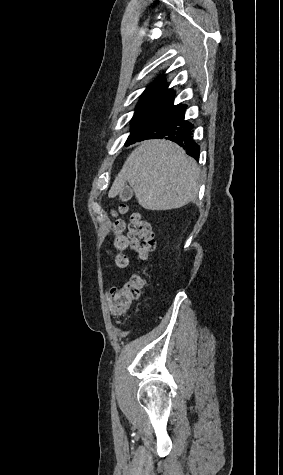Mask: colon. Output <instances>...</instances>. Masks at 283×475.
Listing matches in <instances>:
<instances>
[{
  "label": "colon",
  "instance_id": "obj_1",
  "mask_svg": "<svg viewBox=\"0 0 283 475\" xmlns=\"http://www.w3.org/2000/svg\"><path fill=\"white\" fill-rule=\"evenodd\" d=\"M127 211L125 205H121L117 210L112 211L115 218L112 225L114 237L108 255L114 259L120 268H126L128 265V258L124 253L127 249L130 248L139 259L146 260L152 254L154 248V238L149 224L138 212L131 213L128 237L123 234V224L117 216L118 213L124 214ZM142 286V278L134 275L127 281L110 288L108 303L112 314L117 319H121L128 314L130 307L140 297Z\"/></svg>",
  "mask_w": 283,
  "mask_h": 475
}]
</instances>
